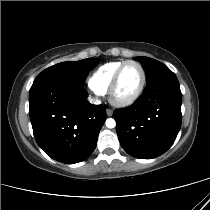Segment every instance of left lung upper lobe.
Returning <instances> with one entry per match:
<instances>
[{
    "instance_id": "obj_1",
    "label": "left lung upper lobe",
    "mask_w": 210,
    "mask_h": 210,
    "mask_svg": "<svg viewBox=\"0 0 210 210\" xmlns=\"http://www.w3.org/2000/svg\"><path fill=\"white\" fill-rule=\"evenodd\" d=\"M134 59L139 61L143 66L147 76V83L157 79L158 77L172 73L167 66L155 59L149 57H135Z\"/></svg>"
}]
</instances>
